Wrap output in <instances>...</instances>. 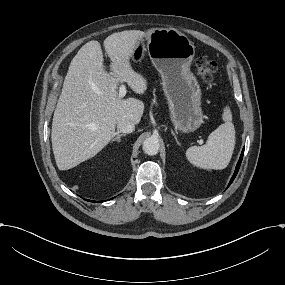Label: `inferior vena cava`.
<instances>
[{
  "label": "inferior vena cava",
  "instance_id": "obj_1",
  "mask_svg": "<svg viewBox=\"0 0 285 285\" xmlns=\"http://www.w3.org/2000/svg\"><path fill=\"white\" fill-rule=\"evenodd\" d=\"M117 130L122 133H131L134 130V124L125 120L119 121L117 124Z\"/></svg>",
  "mask_w": 285,
  "mask_h": 285
}]
</instances>
